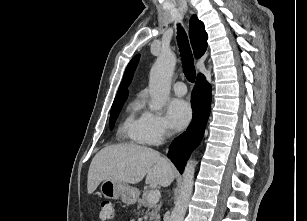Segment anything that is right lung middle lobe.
Returning a JSON list of instances; mask_svg holds the SVG:
<instances>
[{
  "instance_id": "1",
  "label": "right lung middle lobe",
  "mask_w": 307,
  "mask_h": 221,
  "mask_svg": "<svg viewBox=\"0 0 307 221\" xmlns=\"http://www.w3.org/2000/svg\"><path fill=\"white\" fill-rule=\"evenodd\" d=\"M123 103L124 101L113 103L112 108H111V114H110V127H113V125L115 124V121L118 117V114L122 108Z\"/></svg>"
}]
</instances>
